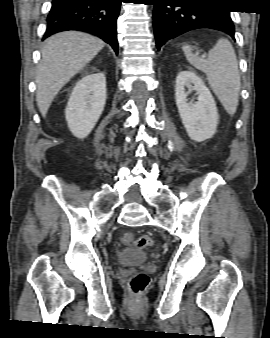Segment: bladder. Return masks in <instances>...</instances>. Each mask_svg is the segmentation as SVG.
I'll return each instance as SVG.
<instances>
[{"label":"bladder","instance_id":"1","mask_svg":"<svg viewBox=\"0 0 270 338\" xmlns=\"http://www.w3.org/2000/svg\"><path fill=\"white\" fill-rule=\"evenodd\" d=\"M149 260L148 252L136 247L124 249L119 257L117 263L120 265H137L145 263Z\"/></svg>","mask_w":270,"mask_h":338}]
</instances>
